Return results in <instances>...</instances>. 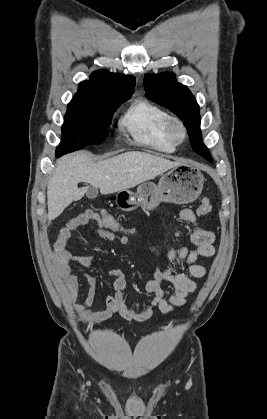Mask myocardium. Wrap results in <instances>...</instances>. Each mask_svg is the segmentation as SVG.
<instances>
[{
    "instance_id": "1",
    "label": "myocardium",
    "mask_w": 267,
    "mask_h": 419,
    "mask_svg": "<svg viewBox=\"0 0 267 419\" xmlns=\"http://www.w3.org/2000/svg\"><path fill=\"white\" fill-rule=\"evenodd\" d=\"M176 129L180 130L181 134H180L179 137L176 136V134H175ZM164 132H165V135H166L167 139L171 143H173L175 146L184 142L186 137H187L186 125L183 122V120L176 115H169L168 116V118L166 120V123H165Z\"/></svg>"
}]
</instances>
